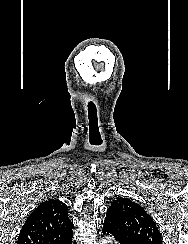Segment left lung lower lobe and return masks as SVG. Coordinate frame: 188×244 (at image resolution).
<instances>
[{
	"label": "left lung lower lobe",
	"instance_id": "obj_1",
	"mask_svg": "<svg viewBox=\"0 0 188 244\" xmlns=\"http://www.w3.org/2000/svg\"><path fill=\"white\" fill-rule=\"evenodd\" d=\"M103 234L110 235L111 237H113L115 239L116 244H128L121 236L115 221L109 214H106V218L104 220Z\"/></svg>",
	"mask_w": 188,
	"mask_h": 244
}]
</instances>
